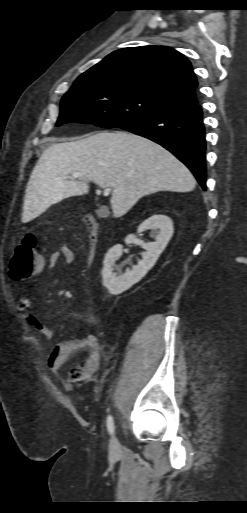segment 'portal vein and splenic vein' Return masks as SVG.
Returning <instances> with one entry per match:
<instances>
[{
    "instance_id": "18ae733b",
    "label": "portal vein and splenic vein",
    "mask_w": 247,
    "mask_h": 513,
    "mask_svg": "<svg viewBox=\"0 0 247 513\" xmlns=\"http://www.w3.org/2000/svg\"><path fill=\"white\" fill-rule=\"evenodd\" d=\"M80 176H81V174H80V173H78V172H75V173H72V174H71V178H78V177H80ZM99 186H100L101 188H105V186H102V185H99ZM110 191H111V188H105V189H104V192H103V195H104V196H108V195H109V193H110Z\"/></svg>"
}]
</instances>
